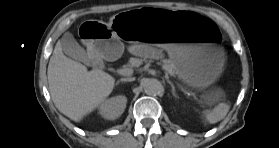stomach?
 <instances>
[{
    "label": "stomach",
    "instance_id": "1",
    "mask_svg": "<svg viewBox=\"0 0 279 148\" xmlns=\"http://www.w3.org/2000/svg\"><path fill=\"white\" fill-rule=\"evenodd\" d=\"M75 39L86 52L109 60L120 57L122 41L152 43L169 52L176 74L193 89L211 85L228 65L221 25L210 16L171 6L124 11L110 23L84 19L76 27Z\"/></svg>",
    "mask_w": 279,
    "mask_h": 148
}]
</instances>
